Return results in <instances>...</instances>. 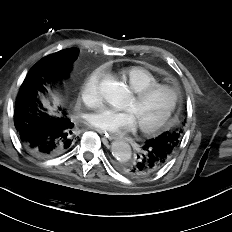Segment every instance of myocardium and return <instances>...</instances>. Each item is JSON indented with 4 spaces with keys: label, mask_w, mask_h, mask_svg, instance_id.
Segmentation results:
<instances>
[{
    "label": "myocardium",
    "mask_w": 232,
    "mask_h": 232,
    "mask_svg": "<svg viewBox=\"0 0 232 232\" xmlns=\"http://www.w3.org/2000/svg\"><path fill=\"white\" fill-rule=\"evenodd\" d=\"M161 90H166L170 92L171 102L165 114L160 119H158L156 122L152 124H148V125L138 124L139 130L145 134H153L159 131L160 129H162L163 127H165L169 123L171 117L173 116L177 108L180 94L176 87L168 85V84H159V83L134 92V95H133L134 99L136 101H143L149 96H151L152 94L158 91H161Z\"/></svg>",
    "instance_id": "myocardium-1"
}]
</instances>
